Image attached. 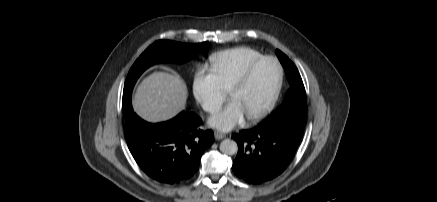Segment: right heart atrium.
<instances>
[{
	"label": "right heart atrium",
	"mask_w": 437,
	"mask_h": 202,
	"mask_svg": "<svg viewBox=\"0 0 437 202\" xmlns=\"http://www.w3.org/2000/svg\"><path fill=\"white\" fill-rule=\"evenodd\" d=\"M192 94L205 112L214 113L222 105L227 90L223 88L212 70L198 66L193 75Z\"/></svg>",
	"instance_id": "obj_1"
}]
</instances>
